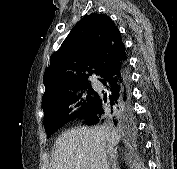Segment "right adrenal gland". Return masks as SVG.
<instances>
[{"instance_id": "right-adrenal-gland-1", "label": "right adrenal gland", "mask_w": 177, "mask_h": 169, "mask_svg": "<svg viewBox=\"0 0 177 169\" xmlns=\"http://www.w3.org/2000/svg\"><path fill=\"white\" fill-rule=\"evenodd\" d=\"M112 169H119L117 164V149H115L112 154Z\"/></svg>"}]
</instances>
